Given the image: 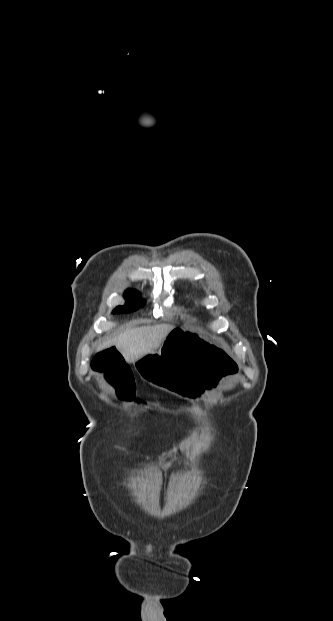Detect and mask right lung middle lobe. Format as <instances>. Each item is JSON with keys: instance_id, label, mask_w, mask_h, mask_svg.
<instances>
[{"instance_id": "obj_1", "label": "right lung middle lobe", "mask_w": 333, "mask_h": 621, "mask_svg": "<svg viewBox=\"0 0 333 621\" xmlns=\"http://www.w3.org/2000/svg\"><path fill=\"white\" fill-rule=\"evenodd\" d=\"M124 297L128 300V303L125 306H118L114 309L113 313L134 311L144 305V301L140 298L139 292L135 290L128 289L125 292Z\"/></svg>"}]
</instances>
